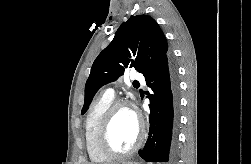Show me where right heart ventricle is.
I'll list each match as a JSON object with an SVG mask.
<instances>
[{"mask_svg":"<svg viewBox=\"0 0 251 164\" xmlns=\"http://www.w3.org/2000/svg\"><path fill=\"white\" fill-rule=\"evenodd\" d=\"M112 102L113 97L102 95L91 104L86 114L84 121V138L86 150L92 162L101 163L109 159L98 148L97 133L101 119Z\"/></svg>","mask_w":251,"mask_h":164,"instance_id":"e07e8e85","label":"right heart ventricle"}]
</instances>
